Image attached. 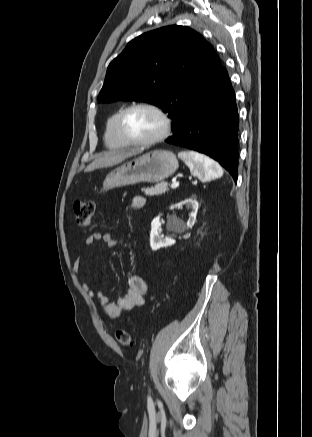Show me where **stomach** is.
<instances>
[{"label": "stomach", "instance_id": "stomach-1", "mask_svg": "<svg viewBox=\"0 0 312 437\" xmlns=\"http://www.w3.org/2000/svg\"><path fill=\"white\" fill-rule=\"evenodd\" d=\"M178 166L173 152L154 150L112 170L103 182V190L140 182H161L174 174Z\"/></svg>", "mask_w": 312, "mask_h": 437}]
</instances>
